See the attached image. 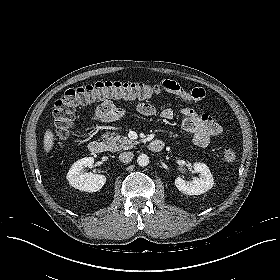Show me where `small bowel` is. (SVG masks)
Wrapping results in <instances>:
<instances>
[{
    "mask_svg": "<svg viewBox=\"0 0 280 280\" xmlns=\"http://www.w3.org/2000/svg\"><path fill=\"white\" fill-rule=\"evenodd\" d=\"M163 89L175 95L185 103L189 104V107H185L179 111V114L183 117L182 128L185 132L189 133L193 137V141L200 147L207 146L210 141L222 134L223 129L221 125L209 114L197 113L193 105L202 101L206 92L203 88H193L187 90L183 88L179 83L171 80H165L162 82ZM135 110L144 116H156L159 115L163 120H173L177 113L171 108H165L158 111L157 107L149 102H138L135 106ZM125 110L116 106L113 102L104 101L95 112V119L103 122H111L123 117Z\"/></svg>",
    "mask_w": 280,
    "mask_h": 280,
    "instance_id": "1",
    "label": "small bowel"
}]
</instances>
